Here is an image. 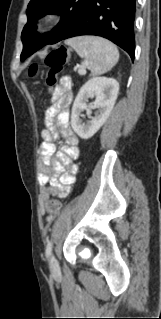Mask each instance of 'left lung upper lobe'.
<instances>
[{
    "label": "left lung upper lobe",
    "instance_id": "obj_1",
    "mask_svg": "<svg viewBox=\"0 0 161 319\" xmlns=\"http://www.w3.org/2000/svg\"><path fill=\"white\" fill-rule=\"evenodd\" d=\"M92 0H31L27 7L28 22L22 31L24 45L21 55L36 47L37 50L47 44L61 41L74 24L81 18ZM56 13L62 16L60 23L41 36L36 29V21L46 14Z\"/></svg>",
    "mask_w": 161,
    "mask_h": 319
}]
</instances>
